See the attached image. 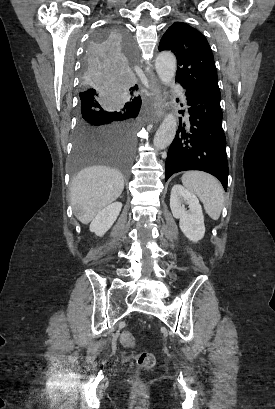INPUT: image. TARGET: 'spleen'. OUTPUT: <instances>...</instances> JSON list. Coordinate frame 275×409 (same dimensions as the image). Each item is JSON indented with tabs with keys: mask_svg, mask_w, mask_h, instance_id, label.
Here are the masks:
<instances>
[{
	"mask_svg": "<svg viewBox=\"0 0 275 409\" xmlns=\"http://www.w3.org/2000/svg\"><path fill=\"white\" fill-rule=\"evenodd\" d=\"M182 182L188 190L199 196L207 215L213 221H218L224 205V190L219 180L207 172L189 170L183 174Z\"/></svg>",
	"mask_w": 275,
	"mask_h": 409,
	"instance_id": "1",
	"label": "spleen"
}]
</instances>
